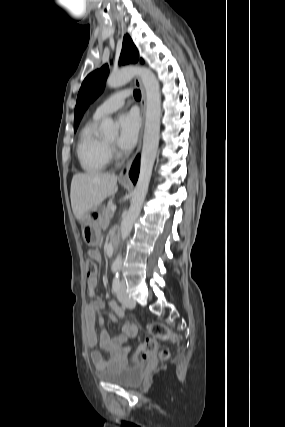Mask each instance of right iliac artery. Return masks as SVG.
<instances>
[{
    "label": "right iliac artery",
    "instance_id": "right-iliac-artery-1",
    "mask_svg": "<svg viewBox=\"0 0 285 427\" xmlns=\"http://www.w3.org/2000/svg\"><path fill=\"white\" fill-rule=\"evenodd\" d=\"M117 270H118V268H116V267H113L112 268V271L115 273V272H117Z\"/></svg>",
    "mask_w": 285,
    "mask_h": 427
}]
</instances>
